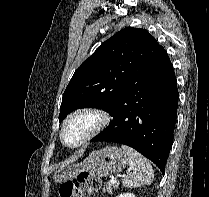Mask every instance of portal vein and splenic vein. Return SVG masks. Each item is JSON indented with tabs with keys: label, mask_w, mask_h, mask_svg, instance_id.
Listing matches in <instances>:
<instances>
[{
	"label": "portal vein and splenic vein",
	"mask_w": 209,
	"mask_h": 197,
	"mask_svg": "<svg viewBox=\"0 0 209 197\" xmlns=\"http://www.w3.org/2000/svg\"><path fill=\"white\" fill-rule=\"evenodd\" d=\"M110 182H111V183H117V178H112V179L110 180Z\"/></svg>",
	"instance_id": "obj_1"
}]
</instances>
